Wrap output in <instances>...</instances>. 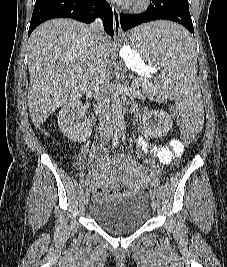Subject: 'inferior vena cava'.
Wrapping results in <instances>:
<instances>
[{
    "label": "inferior vena cava",
    "instance_id": "602c4592",
    "mask_svg": "<svg viewBox=\"0 0 227 267\" xmlns=\"http://www.w3.org/2000/svg\"><path fill=\"white\" fill-rule=\"evenodd\" d=\"M89 32L95 41L96 56L89 79V89L97 100L99 112V132L102 137L112 134L109 81L106 75L107 54L101 39L104 37L99 19L89 26Z\"/></svg>",
    "mask_w": 227,
    "mask_h": 267
}]
</instances>
